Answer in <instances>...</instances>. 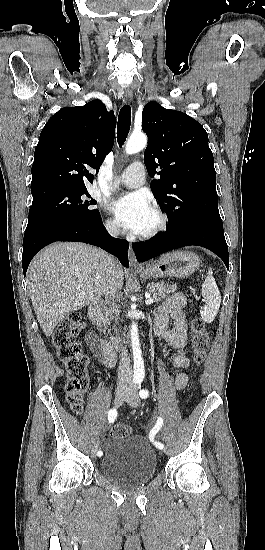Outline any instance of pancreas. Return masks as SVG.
Instances as JSON below:
<instances>
[{"label":"pancreas","instance_id":"obj_1","mask_svg":"<svg viewBox=\"0 0 265 550\" xmlns=\"http://www.w3.org/2000/svg\"><path fill=\"white\" fill-rule=\"evenodd\" d=\"M146 289L153 295V298L156 302H160L162 299L166 298L170 293H174L177 289L175 284L169 283H148ZM115 313V314H113ZM119 310L117 306L105 307L101 313V321L104 326L110 324L112 319H118Z\"/></svg>","mask_w":265,"mask_h":550}]
</instances>
